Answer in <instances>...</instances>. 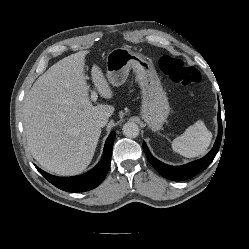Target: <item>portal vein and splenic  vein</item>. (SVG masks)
Instances as JSON below:
<instances>
[{
    "label": "portal vein and splenic vein",
    "mask_w": 249,
    "mask_h": 249,
    "mask_svg": "<svg viewBox=\"0 0 249 249\" xmlns=\"http://www.w3.org/2000/svg\"><path fill=\"white\" fill-rule=\"evenodd\" d=\"M97 93L93 90L92 92H91V100L92 101H96L97 100Z\"/></svg>",
    "instance_id": "1"
}]
</instances>
